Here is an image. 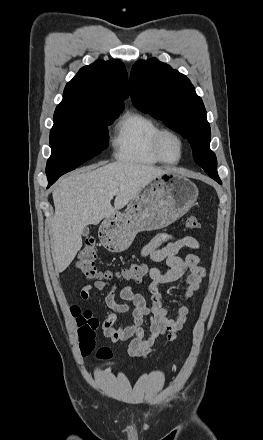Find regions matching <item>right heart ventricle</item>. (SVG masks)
<instances>
[{
  "mask_svg": "<svg viewBox=\"0 0 263 440\" xmlns=\"http://www.w3.org/2000/svg\"><path fill=\"white\" fill-rule=\"evenodd\" d=\"M160 125L148 115L127 111L117 122L112 140L114 157L119 161L158 164L153 150V138Z\"/></svg>",
  "mask_w": 263,
  "mask_h": 440,
  "instance_id": "1",
  "label": "right heart ventricle"
}]
</instances>
